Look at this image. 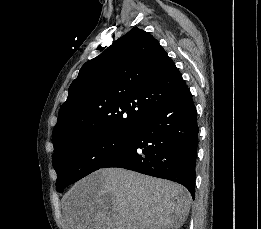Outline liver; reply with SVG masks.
Masks as SVG:
<instances>
[{"label": "liver", "mask_w": 261, "mask_h": 229, "mask_svg": "<svg viewBox=\"0 0 261 229\" xmlns=\"http://www.w3.org/2000/svg\"><path fill=\"white\" fill-rule=\"evenodd\" d=\"M185 187L126 169H99L63 197L66 229H180L190 211Z\"/></svg>", "instance_id": "6515ba94"}]
</instances>
